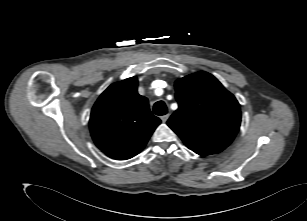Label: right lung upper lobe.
I'll return each mask as SVG.
<instances>
[{
    "mask_svg": "<svg viewBox=\"0 0 307 221\" xmlns=\"http://www.w3.org/2000/svg\"><path fill=\"white\" fill-rule=\"evenodd\" d=\"M137 85L136 77L110 85L91 112L89 125L94 143L113 159L137 155L161 123L151 113L147 98L137 93Z\"/></svg>",
    "mask_w": 307,
    "mask_h": 221,
    "instance_id": "obj_1",
    "label": "right lung upper lobe"
}]
</instances>
